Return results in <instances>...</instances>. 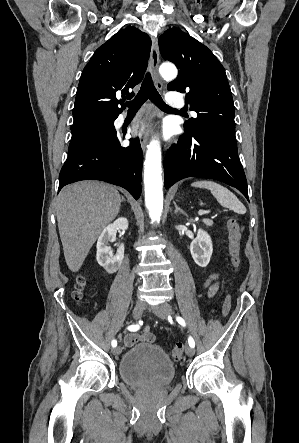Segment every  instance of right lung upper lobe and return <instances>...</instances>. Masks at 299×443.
<instances>
[{
    "label": "right lung upper lobe",
    "mask_w": 299,
    "mask_h": 443,
    "mask_svg": "<svg viewBox=\"0 0 299 443\" xmlns=\"http://www.w3.org/2000/svg\"><path fill=\"white\" fill-rule=\"evenodd\" d=\"M150 50V37L135 27L119 31L100 46L81 74L74 123L119 115L125 106L117 98L134 96L129 90L142 80Z\"/></svg>",
    "instance_id": "right-lung-upper-lobe-1"
}]
</instances>
